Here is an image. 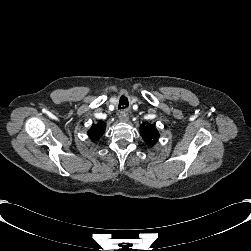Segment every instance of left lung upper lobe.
Segmentation results:
<instances>
[{"label":"left lung upper lobe","instance_id":"obj_1","mask_svg":"<svg viewBox=\"0 0 251 251\" xmlns=\"http://www.w3.org/2000/svg\"><path fill=\"white\" fill-rule=\"evenodd\" d=\"M140 133L144 141L153 146L159 138V133L153 124L144 123L140 126Z\"/></svg>","mask_w":251,"mask_h":251}]
</instances>
